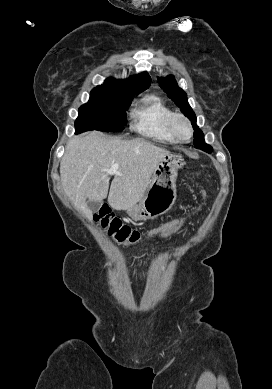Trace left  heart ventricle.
Listing matches in <instances>:
<instances>
[{
	"label": "left heart ventricle",
	"mask_w": 272,
	"mask_h": 389,
	"mask_svg": "<svg viewBox=\"0 0 272 389\" xmlns=\"http://www.w3.org/2000/svg\"><path fill=\"white\" fill-rule=\"evenodd\" d=\"M177 131L183 137L188 136V129L186 125L181 121L177 123Z\"/></svg>",
	"instance_id": "1"
}]
</instances>
